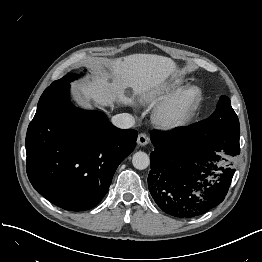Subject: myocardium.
<instances>
[{"label": "myocardium", "instance_id": "1", "mask_svg": "<svg viewBox=\"0 0 262 262\" xmlns=\"http://www.w3.org/2000/svg\"><path fill=\"white\" fill-rule=\"evenodd\" d=\"M188 92H194L195 98L189 108H185L184 98ZM202 89L195 84L181 87L165 100L155 112V123L162 129H175L187 125L195 117L201 102Z\"/></svg>", "mask_w": 262, "mask_h": 262}]
</instances>
